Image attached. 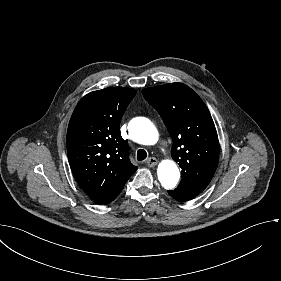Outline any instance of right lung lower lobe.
<instances>
[{"label":"right lung lower lobe","instance_id":"1","mask_svg":"<svg viewBox=\"0 0 281 281\" xmlns=\"http://www.w3.org/2000/svg\"><path fill=\"white\" fill-rule=\"evenodd\" d=\"M125 184L121 185L119 188H117L115 191H113L112 193H110L108 196L101 198L100 200H98L97 204H107L112 202L117 196L118 194L121 192V190L123 189Z\"/></svg>","mask_w":281,"mask_h":281}]
</instances>
